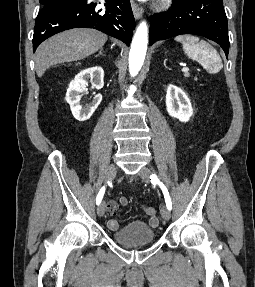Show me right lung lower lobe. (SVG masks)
I'll list each match as a JSON object with an SVG mask.
<instances>
[{
    "mask_svg": "<svg viewBox=\"0 0 255 287\" xmlns=\"http://www.w3.org/2000/svg\"><path fill=\"white\" fill-rule=\"evenodd\" d=\"M105 1L108 3L105 11L89 0L43 7L35 21L33 51L48 37L78 27L98 29L128 45L135 28L130 1Z\"/></svg>",
    "mask_w": 255,
    "mask_h": 287,
    "instance_id": "right-lung-lower-lobe-1",
    "label": "right lung lower lobe"
}]
</instances>
